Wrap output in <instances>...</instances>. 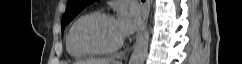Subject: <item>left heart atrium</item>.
<instances>
[{
    "mask_svg": "<svg viewBox=\"0 0 242 64\" xmlns=\"http://www.w3.org/2000/svg\"><path fill=\"white\" fill-rule=\"evenodd\" d=\"M114 25L119 37L123 39L138 29L140 18L138 13L122 9L114 20Z\"/></svg>",
    "mask_w": 242,
    "mask_h": 64,
    "instance_id": "39dd6f15",
    "label": "left heart atrium"
}]
</instances>
